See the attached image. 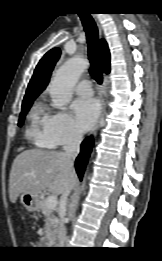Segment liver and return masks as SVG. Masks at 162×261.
Listing matches in <instances>:
<instances>
[{
    "label": "liver",
    "mask_w": 162,
    "mask_h": 261,
    "mask_svg": "<svg viewBox=\"0 0 162 261\" xmlns=\"http://www.w3.org/2000/svg\"><path fill=\"white\" fill-rule=\"evenodd\" d=\"M76 182V172L66 162L63 153L41 149L25 150L13 161L9 198L15 203L20 194L39 196L46 189L55 196L63 195Z\"/></svg>",
    "instance_id": "liver-1"
}]
</instances>
